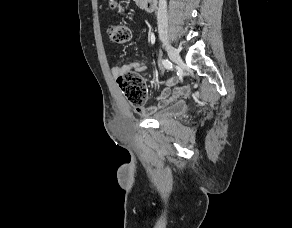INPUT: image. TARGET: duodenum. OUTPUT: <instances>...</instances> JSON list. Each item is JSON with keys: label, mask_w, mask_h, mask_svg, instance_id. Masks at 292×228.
<instances>
[{"label": "duodenum", "mask_w": 292, "mask_h": 228, "mask_svg": "<svg viewBox=\"0 0 292 228\" xmlns=\"http://www.w3.org/2000/svg\"><path fill=\"white\" fill-rule=\"evenodd\" d=\"M137 1L139 3V6L148 12L154 11L157 5V0H137Z\"/></svg>", "instance_id": "1"}]
</instances>
